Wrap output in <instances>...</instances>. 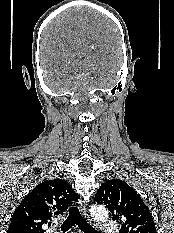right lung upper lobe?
Returning <instances> with one entry per match:
<instances>
[{"label": "right lung upper lobe", "mask_w": 174, "mask_h": 233, "mask_svg": "<svg viewBox=\"0 0 174 233\" xmlns=\"http://www.w3.org/2000/svg\"><path fill=\"white\" fill-rule=\"evenodd\" d=\"M78 198L67 181H44L14 211L7 233H44L42 226L66 211Z\"/></svg>", "instance_id": "cb5924a9"}]
</instances>
